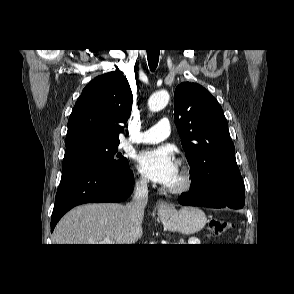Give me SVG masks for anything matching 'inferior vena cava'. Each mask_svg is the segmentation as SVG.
Returning <instances> with one entry per match:
<instances>
[{"label": "inferior vena cava", "mask_w": 294, "mask_h": 294, "mask_svg": "<svg viewBox=\"0 0 294 294\" xmlns=\"http://www.w3.org/2000/svg\"><path fill=\"white\" fill-rule=\"evenodd\" d=\"M148 202L147 181L142 179L136 183L132 201L127 205L133 229H139L144 217V209Z\"/></svg>", "instance_id": "602c4592"}]
</instances>
